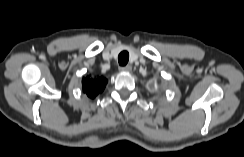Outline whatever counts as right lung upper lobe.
Returning <instances> with one entry per match:
<instances>
[{"label": "right lung upper lobe", "mask_w": 244, "mask_h": 157, "mask_svg": "<svg viewBox=\"0 0 244 157\" xmlns=\"http://www.w3.org/2000/svg\"><path fill=\"white\" fill-rule=\"evenodd\" d=\"M83 91L90 98H95L98 93H101L107 83V79L100 77L98 79H91L90 76H87L82 80Z\"/></svg>", "instance_id": "right-lung-upper-lobe-1"}]
</instances>
